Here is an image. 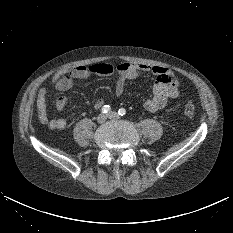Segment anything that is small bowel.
<instances>
[{"label":"small bowel","instance_id":"small-bowel-1","mask_svg":"<svg viewBox=\"0 0 233 233\" xmlns=\"http://www.w3.org/2000/svg\"><path fill=\"white\" fill-rule=\"evenodd\" d=\"M116 74L114 94H122L126 80H132L142 75L152 74L154 84L152 95L145 99L143 106L147 111L155 112L164 108L172 99L180 96V81L173 72L163 66H152L122 62L117 65L110 63H98L90 66L79 65L69 70L55 73L51 78V84L59 91H66L72 87L75 80H86L92 76H111ZM106 99L100 98L95 102L96 108H101ZM67 104L65 96H59L55 101V108L62 112ZM37 110L39 121L50 129L62 130L67 127L63 118H50L47 111V89L41 88L37 95Z\"/></svg>","mask_w":233,"mask_h":233}]
</instances>
